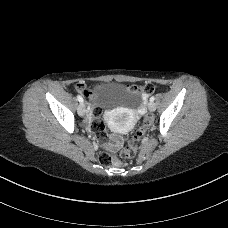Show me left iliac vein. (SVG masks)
<instances>
[{
	"label": "left iliac vein",
	"instance_id": "4c4485c4",
	"mask_svg": "<svg viewBox=\"0 0 228 228\" xmlns=\"http://www.w3.org/2000/svg\"><path fill=\"white\" fill-rule=\"evenodd\" d=\"M148 109H149L150 111H155V109H156L155 103L150 101V102L148 103Z\"/></svg>",
	"mask_w": 228,
	"mask_h": 228
}]
</instances>
